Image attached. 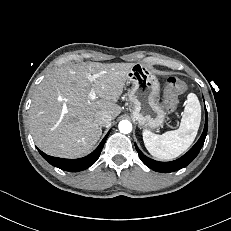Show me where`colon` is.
Listing matches in <instances>:
<instances>
[{"instance_id":"obj_1","label":"colon","mask_w":231,"mask_h":231,"mask_svg":"<svg viewBox=\"0 0 231 231\" xmlns=\"http://www.w3.org/2000/svg\"><path fill=\"white\" fill-rule=\"evenodd\" d=\"M187 89V85L176 77H170L165 86V105L168 110L173 111L178 102V96Z\"/></svg>"}]
</instances>
